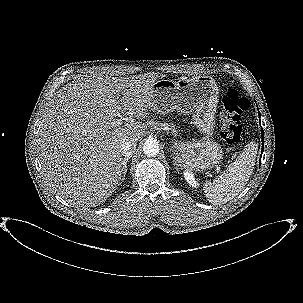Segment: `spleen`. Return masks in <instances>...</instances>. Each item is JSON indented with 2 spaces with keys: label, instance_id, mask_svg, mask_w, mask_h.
Returning a JSON list of instances; mask_svg holds the SVG:
<instances>
[{
  "label": "spleen",
  "instance_id": "obj_1",
  "mask_svg": "<svg viewBox=\"0 0 303 303\" xmlns=\"http://www.w3.org/2000/svg\"><path fill=\"white\" fill-rule=\"evenodd\" d=\"M257 150L255 142L248 143L222 175L213 182L206 181L203 184L205 196L211 204L227 203L242 191L253 173Z\"/></svg>",
  "mask_w": 303,
  "mask_h": 303
}]
</instances>
